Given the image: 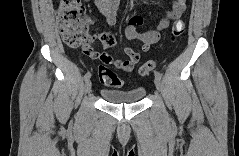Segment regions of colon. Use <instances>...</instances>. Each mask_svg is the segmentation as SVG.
I'll use <instances>...</instances> for the list:
<instances>
[{"label":"colon","mask_w":239,"mask_h":156,"mask_svg":"<svg viewBox=\"0 0 239 156\" xmlns=\"http://www.w3.org/2000/svg\"><path fill=\"white\" fill-rule=\"evenodd\" d=\"M58 25L64 42L70 47H81L88 50L89 34L88 20L85 7L79 0H61L57 9ZM185 25L177 21L172 27V39L180 37L184 33ZM156 68V62L151 60L141 66L139 72L147 75ZM99 79L102 83L120 87V80L108 67L98 68Z\"/></svg>","instance_id":"obj_1"}]
</instances>
